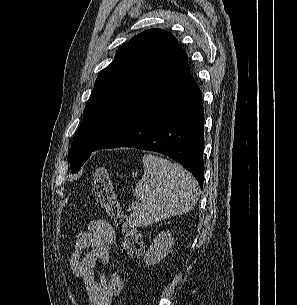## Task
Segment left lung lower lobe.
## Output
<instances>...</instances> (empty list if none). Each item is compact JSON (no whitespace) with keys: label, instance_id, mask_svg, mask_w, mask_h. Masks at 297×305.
Listing matches in <instances>:
<instances>
[{"label":"left lung lower lobe","instance_id":"left-lung-lower-lobe-1","mask_svg":"<svg viewBox=\"0 0 297 305\" xmlns=\"http://www.w3.org/2000/svg\"><path fill=\"white\" fill-rule=\"evenodd\" d=\"M203 144L202 95L188 73L148 88L98 149L134 147L162 153L190 171L202 188Z\"/></svg>","mask_w":297,"mask_h":305}]
</instances>
